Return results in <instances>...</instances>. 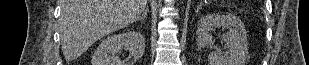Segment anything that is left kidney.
Wrapping results in <instances>:
<instances>
[{
  "instance_id": "1",
  "label": "left kidney",
  "mask_w": 309,
  "mask_h": 65,
  "mask_svg": "<svg viewBox=\"0 0 309 65\" xmlns=\"http://www.w3.org/2000/svg\"><path fill=\"white\" fill-rule=\"evenodd\" d=\"M215 28L227 30L222 35L227 51L220 49L209 54V65H245L248 54V41L243 22L236 15L209 14L202 17L197 26V44L199 47L212 45L215 41L211 31Z\"/></svg>"
}]
</instances>
